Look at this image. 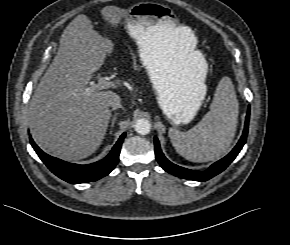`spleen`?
<instances>
[{
  "mask_svg": "<svg viewBox=\"0 0 290 245\" xmlns=\"http://www.w3.org/2000/svg\"><path fill=\"white\" fill-rule=\"evenodd\" d=\"M238 102L232 82L224 77L216 90L210 111L187 132L170 131L177 152L187 160L203 162L222 156L236 131Z\"/></svg>",
  "mask_w": 290,
  "mask_h": 245,
  "instance_id": "1",
  "label": "spleen"
}]
</instances>
